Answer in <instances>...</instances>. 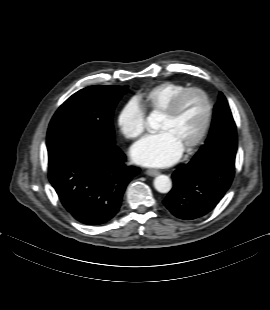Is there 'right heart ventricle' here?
<instances>
[{"label":"right heart ventricle","mask_w":270,"mask_h":310,"mask_svg":"<svg viewBox=\"0 0 270 310\" xmlns=\"http://www.w3.org/2000/svg\"><path fill=\"white\" fill-rule=\"evenodd\" d=\"M186 88L187 86L181 83L172 81L161 82L143 91L139 95V100L144 109L149 113H161L171 99Z\"/></svg>","instance_id":"right-heart-ventricle-1"}]
</instances>
